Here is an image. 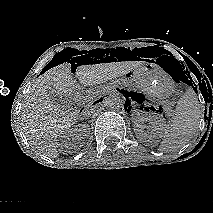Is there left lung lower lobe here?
<instances>
[{
    "instance_id": "left-lung-lower-lobe-1",
    "label": "left lung lower lobe",
    "mask_w": 213,
    "mask_h": 213,
    "mask_svg": "<svg viewBox=\"0 0 213 213\" xmlns=\"http://www.w3.org/2000/svg\"><path fill=\"white\" fill-rule=\"evenodd\" d=\"M121 93L125 94V91L124 90H121ZM127 98V96H125Z\"/></svg>"
}]
</instances>
